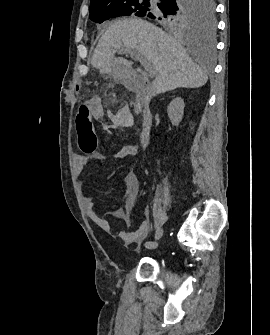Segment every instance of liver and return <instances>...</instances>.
Segmentation results:
<instances>
[{"label": "liver", "mask_w": 270, "mask_h": 335, "mask_svg": "<svg viewBox=\"0 0 270 335\" xmlns=\"http://www.w3.org/2000/svg\"><path fill=\"white\" fill-rule=\"evenodd\" d=\"M118 50H136L153 64L157 76L151 84L152 94H164L175 88H201L208 80L178 38L141 18L117 20L107 28L91 60L93 68L119 76L129 72L132 62L125 64L122 58H115Z\"/></svg>", "instance_id": "liver-1"}]
</instances>
